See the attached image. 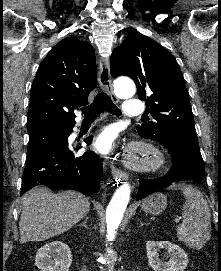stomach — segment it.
I'll use <instances>...</instances> for the list:
<instances>
[{
    "instance_id": "1",
    "label": "stomach",
    "mask_w": 221,
    "mask_h": 271,
    "mask_svg": "<svg viewBox=\"0 0 221 271\" xmlns=\"http://www.w3.org/2000/svg\"><path fill=\"white\" fill-rule=\"evenodd\" d=\"M141 207L143 211H146V213L158 215V213H161L163 209H166L167 197L164 193H161V191H158V193H152V195H148L146 199H143Z\"/></svg>"
}]
</instances>
